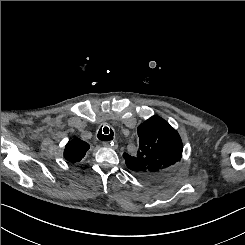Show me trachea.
Segmentation results:
<instances>
[{
	"label": "trachea",
	"instance_id": "1",
	"mask_svg": "<svg viewBox=\"0 0 245 245\" xmlns=\"http://www.w3.org/2000/svg\"><path fill=\"white\" fill-rule=\"evenodd\" d=\"M97 136H98V139L101 141H110L113 139L114 133L111 129L105 126L99 130Z\"/></svg>",
	"mask_w": 245,
	"mask_h": 245
}]
</instances>
